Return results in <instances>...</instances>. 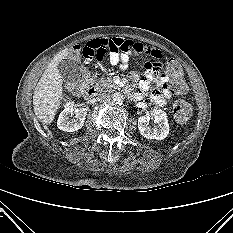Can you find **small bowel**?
<instances>
[{"mask_svg":"<svg viewBox=\"0 0 233 233\" xmlns=\"http://www.w3.org/2000/svg\"><path fill=\"white\" fill-rule=\"evenodd\" d=\"M81 55L88 64L93 59L101 60L105 55H109L110 62L125 69L133 54H146L155 59L152 62H146L144 65V76L140 79L136 72L130 73L133 81H138V85L132 90L135 97H142L152 84L155 85L150 95L151 101L157 106H164L167 100L174 94L168 87L169 76L159 74L163 69V52L144 46L142 43L125 40L122 38H98L88 41L80 47Z\"/></svg>","mask_w":233,"mask_h":233,"instance_id":"obj_1","label":"small bowel"}]
</instances>
